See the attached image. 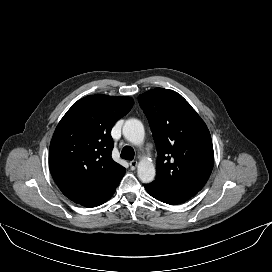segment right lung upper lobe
Here are the masks:
<instances>
[{"label":"right lung upper lobe","mask_w":272,"mask_h":272,"mask_svg":"<svg viewBox=\"0 0 272 272\" xmlns=\"http://www.w3.org/2000/svg\"><path fill=\"white\" fill-rule=\"evenodd\" d=\"M131 97L89 95L63 116L49 149V168L61 192L80 203L104 188L122 166L111 157V129L132 107Z\"/></svg>","instance_id":"cb5924a9"}]
</instances>
